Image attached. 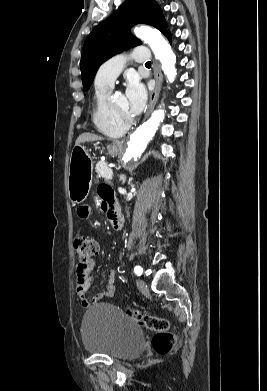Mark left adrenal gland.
I'll return each instance as SVG.
<instances>
[{"label": "left adrenal gland", "instance_id": "obj_1", "mask_svg": "<svg viewBox=\"0 0 267 391\" xmlns=\"http://www.w3.org/2000/svg\"><path fill=\"white\" fill-rule=\"evenodd\" d=\"M126 180H127V177L124 174H121L120 181L122 182V184H125Z\"/></svg>", "mask_w": 267, "mask_h": 391}]
</instances>
